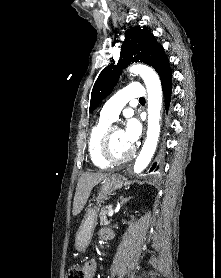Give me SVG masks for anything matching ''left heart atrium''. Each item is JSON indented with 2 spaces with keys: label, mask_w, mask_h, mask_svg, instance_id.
Here are the masks:
<instances>
[{
  "label": "left heart atrium",
  "mask_w": 221,
  "mask_h": 278,
  "mask_svg": "<svg viewBox=\"0 0 221 278\" xmlns=\"http://www.w3.org/2000/svg\"><path fill=\"white\" fill-rule=\"evenodd\" d=\"M124 141L132 147L140 134V127L135 120H129L122 130Z\"/></svg>",
  "instance_id": "1"
}]
</instances>
